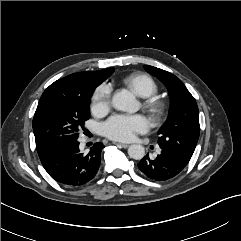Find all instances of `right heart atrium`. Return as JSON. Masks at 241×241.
<instances>
[{"label":"right heart atrium","instance_id":"1","mask_svg":"<svg viewBox=\"0 0 241 241\" xmlns=\"http://www.w3.org/2000/svg\"><path fill=\"white\" fill-rule=\"evenodd\" d=\"M111 103V86L103 83L96 88L92 96V111L96 115L106 113Z\"/></svg>","mask_w":241,"mask_h":241}]
</instances>
